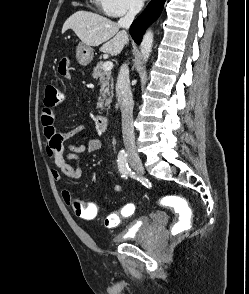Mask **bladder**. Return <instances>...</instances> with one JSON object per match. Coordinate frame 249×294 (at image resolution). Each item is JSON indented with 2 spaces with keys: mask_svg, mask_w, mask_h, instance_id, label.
<instances>
[{
  "mask_svg": "<svg viewBox=\"0 0 249 294\" xmlns=\"http://www.w3.org/2000/svg\"><path fill=\"white\" fill-rule=\"evenodd\" d=\"M166 217H147L141 216L132 225H130L126 230L119 233L115 237V241L124 243L126 241L137 239L141 240L143 238L149 237L157 226L166 222Z\"/></svg>",
  "mask_w": 249,
  "mask_h": 294,
  "instance_id": "31cf9c89",
  "label": "bladder"
}]
</instances>
